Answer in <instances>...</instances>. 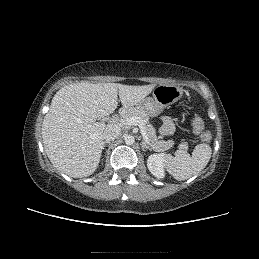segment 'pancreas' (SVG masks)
<instances>
[{"label":"pancreas","mask_w":259,"mask_h":259,"mask_svg":"<svg viewBox=\"0 0 259 259\" xmlns=\"http://www.w3.org/2000/svg\"><path fill=\"white\" fill-rule=\"evenodd\" d=\"M138 117L140 118L146 125V132H147V137H148V143L150 147L155 150V151H165L170 149L174 145L173 140H159L156 136V131L154 127L149 123V115L137 108H128L124 109L120 113V118L122 120H126L127 118L130 117ZM179 149L182 150H188V143L183 141L178 145Z\"/></svg>","instance_id":"cf45deb5"}]
</instances>
